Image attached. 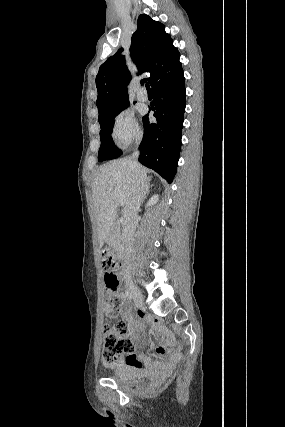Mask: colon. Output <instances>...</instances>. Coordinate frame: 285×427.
<instances>
[{"label":"colon","instance_id":"1","mask_svg":"<svg viewBox=\"0 0 285 427\" xmlns=\"http://www.w3.org/2000/svg\"><path fill=\"white\" fill-rule=\"evenodd\" d=\"M101 266L104 271V282L107 296L105 299L106 308V330L101 352L102 364L111 368L116 365L120 358L129 356L133 352V344L125 336L126 324L120 320L118 315L122 305L121 295L118 293L119 278L115 260L108 254L104 253L101 258ZM139 315H142L139 312ZM158 355L166 354L165 348L159 346L156 348ZM139 366L143 364L137 362Z\"/></svg>","mask_w":285,"mask_h":427}]
</instances>
